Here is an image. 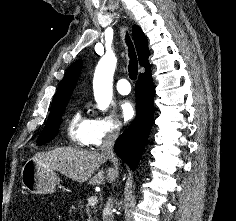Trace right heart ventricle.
Wrapping results in <instances>:
<instances>
[{"instance_id": "obj_1", "label": "right heart ventricle", "mask_w": 236, "mask_h": 221, "mask_svg": "<svg viewBox=\"0 0 236 221\" xmlns=\"http://www.w3.org/2000/svg\"><path fill=\"white\" fill-rule=\"evenodd\" d=\"M89 126V119H87L82 111H77L71 117L67 133L69 138L77 145H87V129Z\"/></svg>"}]
</instances>
